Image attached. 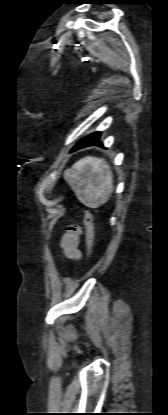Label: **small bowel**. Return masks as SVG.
<instances>
[{
	"label": "small bowel",
	"mask_w": 168,
	"mask_h": 415,
	"mask_svg": "<svg viewBox=\"0 0 168 415\" xmlns=\"http://www.w3.org/2000/svg\"><path fill=\"white\" fill-rule=\"evenodd\" d=\"M80 242V230L75 226L69 227V231L63 235L60 241V248L63 255L66 258L78 260L81 256Z\"/></svg>",
	"instance_id": "obj_1"
}]
</instances>
